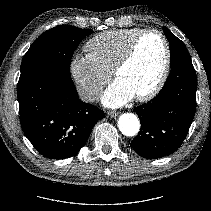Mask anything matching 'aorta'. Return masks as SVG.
Listing matches in <instances>:
<instances>
[{"label":"aorta","mask_w":211,"mask_h":211,"mask_svg":"<svg viewBox=\"0 0 211 211\" xmlns=\"http://www.w3.org/2000/svg\"><path fill=\"white\" fill-rule=\"evenodd\" d=\"M118 127L122 134L135 136L140 129V121L135 114L124 113L118 119Z\"/></svg>","instance_id":"1"}]
</instances>
